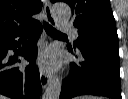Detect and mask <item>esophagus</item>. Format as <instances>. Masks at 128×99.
<instances>
[{
	"instance_id": "1",
	"label": "esophagus",
	"mask_w": 128,
	"mask_h": 99,
	"mask_svg": "<svg viewBox=\"0 0 128 99\" xmlns=\"http://www.w3.org/2000/svg\"><path fill=\"white\" fill-rule=\"evenodd\" d=\"M44 14H45L46 21L50 25L55 26L56 21H55L53 15H52L51 6H50L49 1L45 2ZM40 82H41V86H42L43 89H45L47 87V85L49 84V82H50L49 76L43 70H40Z\"/></svg>"
}]
</instances>
